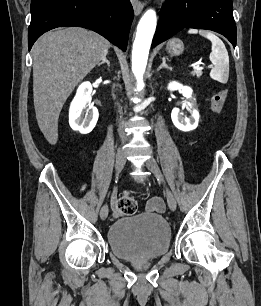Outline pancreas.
I'll return each instance as SVG.
<instances>
[{
  "label": "pancreas",
  "mask_w": 261,
  "mask_h": 306,
  "mask_svg": "<svg viewBox=\"0 0 261 306\" xmlns=\"http://www.w3.org/2000/svg\"><path fill=\"white\" fill-rule=\"evenodd\" d=\"M193 76H197V77H200L201 75H202V72L201 71H193L192 73H191Z\"/></svg>",
  "instance_id": "cf45deb5"
}]
</instances>
